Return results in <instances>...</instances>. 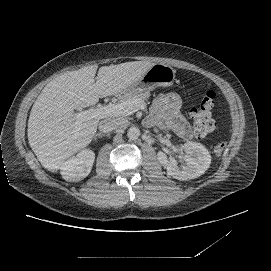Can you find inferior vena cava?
I'll return each mask as SVG.
<instances>
[{
    "mask_svg": "<svg viewBox=\"0 0 271 271\" xmlns=\"http://www.w3.org/2000/svg\"><path fill=\"white\" fill-rule=\"evenodd\" d=\"M125 122L122 119L111 118L101 121L99 124V130L103 133H109L125 128Z\"/></svg>",
    "mask_w": 271,
    "mask_h": 271,
    "instance_id": "obj_1",
    "label": "inferior vena cava"
}]
</instances>
